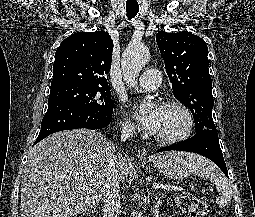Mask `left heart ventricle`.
<instances>
[{"label":"left heart ventricle","mask_w":255,"mask_h":217,"mask_svg":"<svg viewBox=\"0 0 255 217\" xmlns=\"http://www.w3.org/2000/svg\"><path fill=\"white\" fill-rule=\"evenodd\" d=\"M185 116L177 108H163L157 135L169 136L180 132L185 126Z\"/></svg>","instance_id":"left-heart-ventricle-1"}]
</instances>
